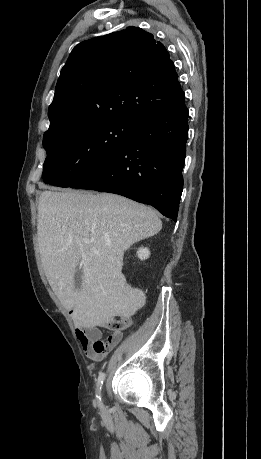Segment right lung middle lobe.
<instances>
[{
    "label": "right lung middle lobe",
    "mask_w": 261,
    "mask_h": 459,
    "mask_svg": "<svg viewBox=\"0 0 261 459\" xmlns=\"http://www.w3.org/2000/svg\"><path fill=\"white\" fill-rule=\"evenodd\" d=\"M138 126L135 121L114 120L77 133L44 134V182L70 187L116 155Z\"/></svg>",
    "instance_id": "right-lung-middle-lobe-1"
}]
</instances>
